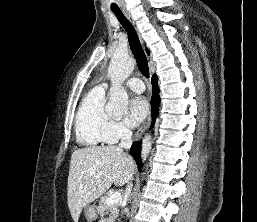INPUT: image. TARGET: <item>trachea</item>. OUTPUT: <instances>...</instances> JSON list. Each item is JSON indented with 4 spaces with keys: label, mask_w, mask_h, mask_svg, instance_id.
I'll return each mask as SVG.
<instances>
[{
    "label": "trachea",
    "mask_w": 257,
    "mask_h": 222,
    "mask_svg": "<svg viewBox=\"0 0 257 222\" xmlns=\"http://www.w3.org/2000/svg\"><path fill=\"white\" fill-rule=\"evenodd\" d=\"M113 12L127 32L129 45L134 55V58L136 59L139 71L143 76L149 78L148 61L133 25L127 20V18L122 14L121 11L113 10Z\"/></svg>",
    "instance_id": "1"
}]
</instances>
